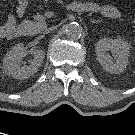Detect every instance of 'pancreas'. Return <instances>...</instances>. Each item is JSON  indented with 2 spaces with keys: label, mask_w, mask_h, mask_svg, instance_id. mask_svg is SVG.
Segmentation results:
<instances>
[{
  "label": "pancreas",
  "mask_w": 135,
  "mask_h": 135,
  "mask_svg": "<svg viewBox=\"0 0 135 135\" xmlns=\"http://www.w3.org/2000/svg\"><path fill=\"white\" fill-rule=\"evenodd\" d=\"M43 21H44V18H41L39 21H36V22L25 20L21 24V27L25 28L29 35H34L42 31L43 29H45L46 24Z\"/></svg>",
  "instance_id": "cf45deb5"
}]
</instances>
